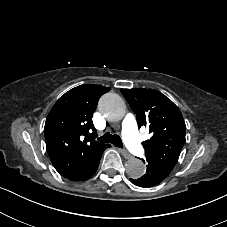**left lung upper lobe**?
I'll list each match as a JSON object with an SVG mask.
<instances>
[{"mask_svg":"<svg viewBox=\"0 0 227 227\" xmlns=\"http://www.w3.org/2000/svg\"><path fill=\"white\" fill-rule=\"evenodd\" d=\"M136 114L138 126H147L152 137L142 144L146 162L173 170L185 143L186 125L179 108L153 89H121Z\"/></svg>","mask_w":227,"mask_h":227,"instance_id":"left-lung-upper-lobe-1","label":"left lung upper lobe"}]
</instances>
